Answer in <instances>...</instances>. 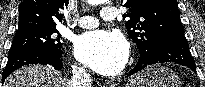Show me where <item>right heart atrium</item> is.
Returning a JSON list of instances; mask_svg holds the SVG:
<instances>
[{"instance_id":"d8ad5b80","label":"right heart atrium","mask_w":205,"mask_h":87,"mask_svg":"<svg viewBox=\"0 0 205 87\" xmlns=\"http://www.w3.org/2000/svg\"><path fill=\"white\" fill-rule=\"evenodd\" d=\"M74 71L77 73H83L86 71L85 67L81 66V65H74Z\"/></svg>"}]
</instances>
